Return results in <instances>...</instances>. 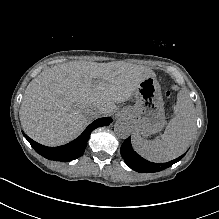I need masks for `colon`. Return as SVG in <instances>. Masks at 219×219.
Instances as JSON below:
<instances>
[{
    "label": "colon",
    "mask_w": 219,
    "mask_h": 219,
    "mask_svg": "<svg viewBox=\"0 0 219 219\" xmlns=\"http://www.w3.org/2000/svg\"><path fill=\"white\" fill-rule=\"evenodd\" d=\"M176 89H177L176 87H172V89L167 90V91L165 92V97H166V98H170V97L172 96L173 92L176 91Z\"/></svg>",
    "instance_id": "1"
}]
</instances>
